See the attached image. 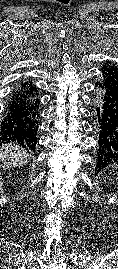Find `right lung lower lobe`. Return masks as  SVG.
Instances as JSON below:
<instances>
[{"mask_svg": "<svg viewBox=\"0 0 118 269\" xmlns=\"http://www.w3.org/2000/svg\"><path fill=\"white\" fill-rule=\"evenodd\" d=\"M32 83H24L12 95L0 125L3 142H16L35 150L38 131L39 99Z\"/></svg>", "mask_w": 118, "mask_h": 269, "instance_id": "1", "label": "right lung lower lobe"}]
</instances>
